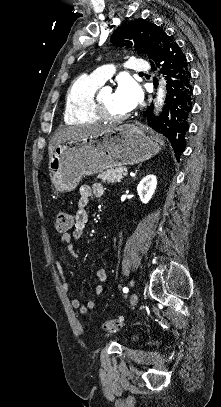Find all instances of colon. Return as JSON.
Returning <instances> with one entry per match:
<instances>
[{"label": "colon", "mask_w": 221, "mask_h": 407, "mask_svg": "<svg viewBox=\"0 0 221 407\" xmlns=\"http://www.w3.org/2000/svg\"><path fill=\"white\" fill-rule=\"evenodd\" d=\"M73 225V218L70 213L66 211H61L57 214L56 218V230L59 233H67ZM124 325V320L122 318H116L106 321L102 325V330L106 333H115L121 329Z\"/></svg>", "instance_id": "5ec220e1"}]
</instances>
